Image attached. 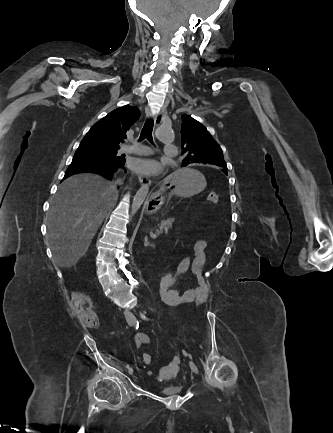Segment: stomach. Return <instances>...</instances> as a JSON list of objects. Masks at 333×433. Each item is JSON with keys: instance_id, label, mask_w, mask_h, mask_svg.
Returning <instances> with one entry per match:
<instances>
[{"instance_id": "1", "label": "stomach", "mask_w": 333, "mask_h": 433, "mask_svg": "<svg viewBox=\"0 0 333 433\" xmlns=\"http://www.w3.org/2000/svg\"><path fill=\"white\" fill-rule=\"evenodd\" d=\"M202 169H176L175 174H168L165 183L170 185V190L165 192L163 187L158 189L149 203V213L157 215L159 213V201L166 194H178L183 197H190L198 194L205 188ZM156 204V206L154 205Z\"/></svg>"}]
</instances>
